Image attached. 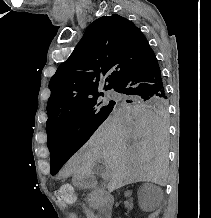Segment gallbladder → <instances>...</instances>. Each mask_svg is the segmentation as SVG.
<instances>
[{"instance_id":"1","label":"gallbladder","mask_w":211,"mask_h":218,"mask_svg":"<svg viewBox=\"0 0 211 218\" xmlns=\"http://www.w3.org/2000/svg\"><path fill=\"white\" fill-rule=\"evenodd\" d=\"M106 171V166H91L92 175H103Z\"/></svg>"}]
</instances>
